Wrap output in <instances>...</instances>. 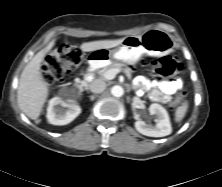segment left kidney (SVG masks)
<instances>
[{
    "label": "left kidney",
    "mask_w": 222,
    "mask_h": 187,
    "mask_svg": "<svg viewBox=\"0 0 222 187\" xmlns=\"http://www.w3.org/2000/svg\"><path fill=\"white\" fill-rule=\"evenodd\" d=\"M151 115L156 116V125L146 124L141 119L135 122L136 130L149 137H164L172 132V127L169 119L168 112L160 104L153 103L149 107Z\"/></svg>",
    "instance_id": "5707ae66"
}]
</instances>
